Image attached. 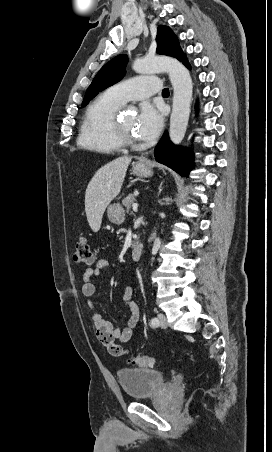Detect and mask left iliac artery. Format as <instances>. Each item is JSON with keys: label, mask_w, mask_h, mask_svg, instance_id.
I'll use <instances>...</instances> for the list:
<instances>
[{"label": "left iliac artery", "mask_w": 272, "mask_h": 452, "mask_svg": "<svg viewBox=\"0 0 272 452\" xmlns=\"http://www.w3.org/2000/svg\"><path fill=\"white\" fill-rule=\"evenodd\" d=\"M151 325L158 326L159 325V320L156 317H153L151 319Z\"/></svg>", "instance_id": "1"}]
</instances>
